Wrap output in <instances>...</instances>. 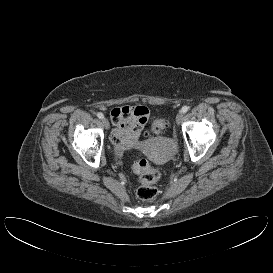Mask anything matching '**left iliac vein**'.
Wrapping results in <instances>:
<instances>
[{"label":"left iliac vein","instance_id":"1","mask_svg":"<svg viewBox=\"0 0 273 273\" xmlns=\"http://www.w3.org/2000/svg\"><path fill=\"white\" fill-rule=\"evenodd\" d=\"M183 117H184L183 112L182 111L178 112V114L176 115V123L178 125L182 122Z\"/></svg>","mask_w":273,"mask_h":273}]
</instances>
